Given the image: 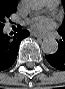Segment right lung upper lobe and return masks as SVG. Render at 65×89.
Masks as SVG:
<instances>
[{"label": "right lung upper lobe", "instance_id": "right-lung-upper-lobe-1", "mask_svg": "<svg viewBox=\"0 0 65 89\" xmlns=\"http://www.w3.org/2000/svg\"><path fill=\"white\" fill-rule=\"evenodd\" d=\"M18 0H0V3L15 7L17 6Z\"/></svg>", "mask_w": 65, "mask_h": 89}]
</instances>
